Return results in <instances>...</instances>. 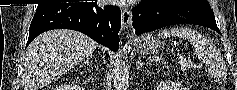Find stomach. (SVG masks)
<instances>
[{
    "instance_id": "0dacf381",
    "label": "stomach",
    "mask_w": 237,
    "mask_h": 90,
    "mask_svg": "<svg viewBox=\"0 0 237 90\" xmlns=\"http://www.w3.org/2000/svg\"><path fill=\"white\" fill-rule=\"evenodd\" d=\"M137 51L142 54L155 53L160 47L159 39L153 37L151 34L143 35L136 42Z\"/></svg>"
}]
</instances>
